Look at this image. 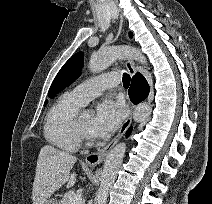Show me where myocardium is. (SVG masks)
Returning a JSON list of instances; mask_svg holds the SVG:
<instances>
[{
    "label": "myocardium",
    "instance_id": "obj_1",
    "mask_svg": "<svg viewBox=\"0 0 212 204\" xmlns=\"http://www.w3.org/2000/svg\"><path fill=\"white\" fill-rule=\"evenodd\" d=\"M74 127L75 132L77 134V137L81 143H89L92 140V137L90 134H88L81 126L79 121V116L75 117L74 120Z\"/></svg>",
    "mask_w": 212,
    "mask_h": 204
}]
</instances>
